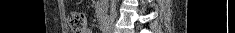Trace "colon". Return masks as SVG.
<instances>
[{"label":"colon","instance_id":"5ec220e1","mask_svg":"<svg viewBox=\"0 0 235 33\" xmlns=\"http://www.w3.org/2000/svg\"><path fill=\"white\" fill-rule=\"evenodd\" d=\"M69 25L73 33H84L88 30L89 19L83 12H72L69 16Z\"/></svg>","mask_w":235,"mask_h":33}]
</instances>
